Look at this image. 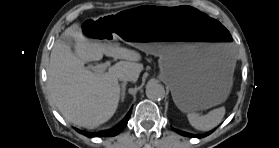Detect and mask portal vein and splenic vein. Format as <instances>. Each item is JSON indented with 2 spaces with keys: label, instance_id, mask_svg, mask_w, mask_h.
Listing matches in <instances>:
<instances>
[{
  "label": "portal vein and splenic vein",
  "instance_id": "1",
  "mask_svg": "<svg viewBox=\"0 0 279 148\" xmlns=\"http://www.w3.org/2000/svg\"><path fill=\"white\" fill-rule=\"evenodd\" d=\"M109 66H110V63L106 62L103 64H98L96 66H89V68L96 73H104Z\"/></svg>",
  "mask_w": 279,
  "mask_h": 148
}]
</instances>
